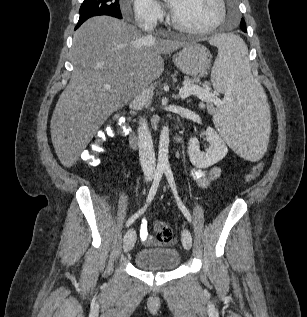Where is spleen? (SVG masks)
I'll return each mask as SVG.
<instances>
[{
	"label": "spleen",
	"instance_id": "spleen-1",
	"mask_svg": "<svg viewBox=\"0 0 307 317\" xmlns=\"http://www.w3.org/2000/svg\"><path fill=\"white\" fill-rule=\"evenodd\" d=\"M206 43L218 48L211 81L225 93V105L214 115V124L241 160H262L271 139L267 91L250 72L247 47L233 33H210Z\"/></svg>",
	"mask_w": 307,
	"mask_h": 317
}]
</instances>
